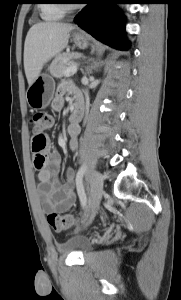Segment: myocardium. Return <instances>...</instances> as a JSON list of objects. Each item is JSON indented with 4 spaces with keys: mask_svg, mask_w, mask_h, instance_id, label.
I'll return each instance as SVG.
<instances>
[{
    "mask_svg": "<svg viewBox=\"0 0 181 300\" xmlns=\"http://www.w3.org/2000/svg\"><path fill=\"white\" fill-rule=\"evenodd\" d=\"M60 7H61L62 9H64V11H67V10H69V9L72 8L71 5H66V4L60 5Z\"/></svg>",
    "mask_w": 181,
    "mask_h": 300,
    "instance_id": "obj_1",
    "label": "myocardium"
}]
</instances>
